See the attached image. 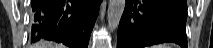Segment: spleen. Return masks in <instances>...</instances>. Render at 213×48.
Segmentation results:
<instances>
[{
    "mask_svg": "<svg viewBox=\"0 0 213 48\" xmlns=\"http://www.w3.org/2000/svg\"><path fill=\"white\" fill-rule=\"evenodd\" d=\"M154 48H172L171 46L169 45H166V44H161V45H157L156 47Z\"/></svg>",
    "mask_w": 213,
    "mask_h": 48,
    "instance_id": "obj_1",
    "label": "spleen"
}]
</instances>
